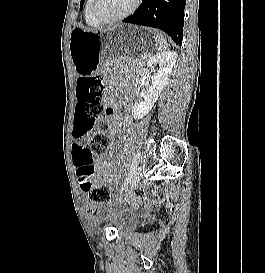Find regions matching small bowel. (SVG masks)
<instances>
[{"label":"small bowel","mask_w":265,"mask_h":273,"mask_svg":"<svg viewBox=\"0 0 265 273\" xmlns=\"http://www.w3.org/2000/svg\"><path fill=\"white\" fill-rule=\"evenodd\" d=\"M109 115L112 117L110 120L107 132L110 136H114L119 122V114L117 112V105L112 98H107ZM86 144V139H73L72 150H71V160L75 171V175L79 180V174L82 169L93 168L99 172L102 179H111L112 173L110 170V165L106 161V156L112 154V148L108 150L104 155H101L95 159H83V149ZM101 208L88 206L86 208V214L91 218H96L99 216Z\"/></svg>","instance_id":"obj_1"}]
</instances>
